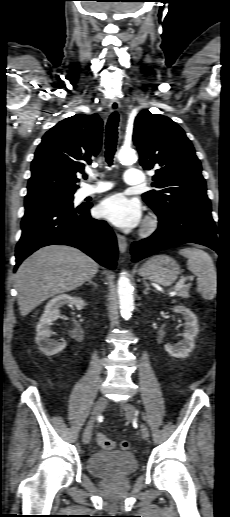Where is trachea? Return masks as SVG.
I'll use <instances>...</instances> for the list:
<instances>
[{"mask_svg":"<svg viewBox=\"0 0 230 517\" xmlns=\"http://www.w3.org/2000/svg\"><path fill=\"white\" fill-rule=\"evenodd\" d=\"M119 123V115L117 112H113L107 122L106 125V140H105V158L108 165H112L113 163V157L116 151V144H117V128ZM84 178H87V175H84Z\"/></svg>","mask_w":230,"mask_h":517,"instance_id":"3493384b","label":"trachea"}]
</instances>
